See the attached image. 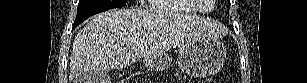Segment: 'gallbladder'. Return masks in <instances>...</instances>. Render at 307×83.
<instances>
[{
	"instance_id": "1",
	"label": "gallbladder",
	"mask_w": 307,
	"mask_h": 83,
	"mask_svg": "<svg viewBox=\"0 0 307 83\" xmlns=\"http://www.w3.org/2000/svg\"><path fill=\"white\" fill-rule=\"evenodd\" d=\"M106 81L108 75L97 71L87 72L79 79L80 83H106Z\"/></svg>"
}]
</instances>
